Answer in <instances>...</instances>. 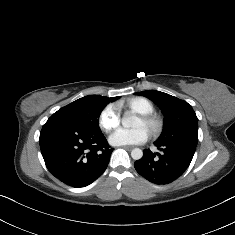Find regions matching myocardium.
Returning <instances> with one entry per match:
<instances>
[{
	"label": "myocardium",
	"instance_id": "1",
	"mask_svg": "<svg viewBox=\"0 0 235 235\" xmlns=\"http://www.w3.org/2000/svg\"><path fill=\"white\" fill-rule=\"evenodd\" d=\"M139 118L142 121L144 128L151 136H157L163 131L164 120L160 115L151 113L149 115H140Z\"/></svg>",
	"mask_w": 235,
	"mask_h": 235
}]
</instances>
